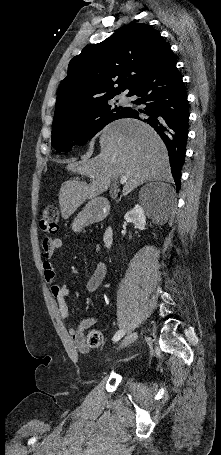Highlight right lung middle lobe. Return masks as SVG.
<instances>
[{
	"label": "right lung middle lobe",
	"mask_w": 221,
	"mask_h": 455,
	"mask_svg": "<svg viewBox=\"0 0 221 455\" xmlns=\"http://www.w3.org/2000/svg\"><path fill=\"white\" fill-rule=\"evenodd\" d=\"M129 108L109 105L108 100L53 123L52 146L58 153L83 145L108 123L123 118Z\"/></svg>",
	"instance_id": "1"
}]
</instances>
